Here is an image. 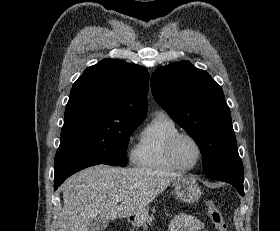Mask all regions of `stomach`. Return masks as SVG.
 Returning a JSON list of instances; mask_svg holds the SVG:
<instances>
[{
	"instance_id": "stomach-1",
	"label": "stomach",
	"mask_w": 280,
	"mask_h": 231,
	"mask_svg": "<svg viewBox=\"0 0 280 231\" xmlns=\"http://www.w3.org/2000/svg\"><path fill=\"white\" fill-rule=\"evenodd\" d=\"M173 187L175 189V193L177 195V199L180 201H185V203H193V201H198L201 197V187L196 183V179L194 177H189V175H184V177H177L175 181H173ZM148 217V211L146 209V213L143 219H135V217H129L130 223L132 225H143Z\"/></svg>"
}]
</instances>
